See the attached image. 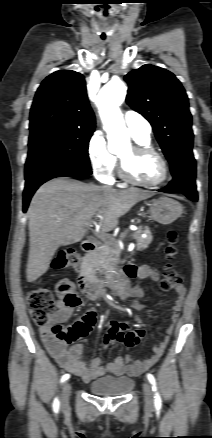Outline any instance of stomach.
<instances>
[{"mask_svg":"<svg viewBox=\"0 0 212 438\" xmlns=\"http://www.w3.org/2000/svg\"><path fill=\"white\" fill-rule=\"evenodd\" d=\"M182 205L167 197H160L152 201L150 207L151 217L158 223L168 225L174 222L182 214Z\"/></svg>","mask_w":212,"mask_h":438,"instance_id":"1","label":"stomach"}]
</instances>
